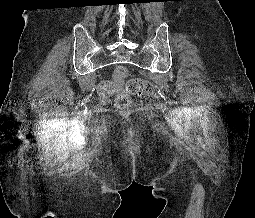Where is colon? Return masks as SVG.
I'll return each mask as SVG.
<instances>
[{
    "mask_svg": "<svg viewBox=\"0 0 255 218\" xmlns=\"http://www.w3.org/2000/svg\"><path fill=\"white\" fill-rule=\"evenodd\" d=\"M130 76L126 66H118L113 74V81L102 82L98 91L102 96H109L117 93L116 105L121 109L128 108L131 105V95L136 94L144 98H151L154 95V87L151 82L142 78H130L126 85V90H120L119 83Z\"/></svg>",
    "mask_w": 255,
    "mask_h": 218,
    "instance_id": "obj_1",
    "label": "colon"
}]
</instances>
